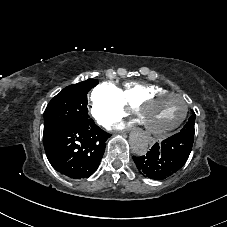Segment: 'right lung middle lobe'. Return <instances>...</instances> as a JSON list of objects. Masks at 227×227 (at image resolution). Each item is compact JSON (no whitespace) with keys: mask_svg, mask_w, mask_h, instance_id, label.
<instances>
[{"mask_svg":"<svg viewBox=\"0 0 227 227\" xmlns=\"http://www.w3.org/2000/svg\"><path fill=\"white\" fill-rule=\"evenodd\" d=\"M98 84L94 79L70 85L57 94L44 112L43 137L75 123H92L88 115L87 93Z\"/></svg>","mask_w":227,"mask_h":227,"instance_id":"1","label":"right lung middle lobe"}]
</instances>
